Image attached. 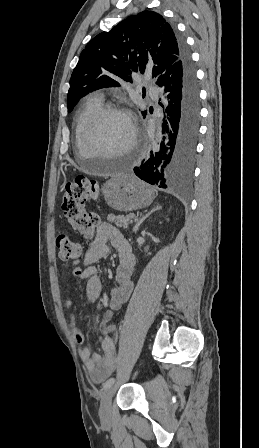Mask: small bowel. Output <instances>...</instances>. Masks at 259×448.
<instances>
[{"mask_svg": "<svg viewBox=\"0 0 259 448\" xmlns=\"http://www.w3.org/2000/svg\"><path fill=\"white\" fill-rule=\"evenodd\" d=\"M117 250L119 262L115 272V288L111 292L109 309L105 312L98 331L104 335L102 341L103 354L91 353L87 347L79 349V355L89 372L90 378L96 383L102 382L116 366V351L114 342L110 334L115 330V325L110 321L114 311L118 310L122 304L130 298L134 284L133 273L135 267V256L131 246L123 234L109 223H101L96 231L94 240L88 245L82 262V268L77 279H86V295L91 302L99 299L101 292V280L98 269L94 263L106 257L109 253V245ZM72 301L67 299L65 307L70 309ZM69 321L75 341L83 345L84 335L76 327V316L69 313Z\"/></svg>", "mask_w": 259, "mask_h": 448, "instance_id": "small-bowel-1", "label": "small bowel"}]
</instances>
